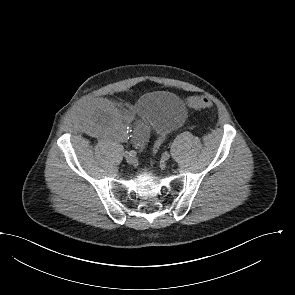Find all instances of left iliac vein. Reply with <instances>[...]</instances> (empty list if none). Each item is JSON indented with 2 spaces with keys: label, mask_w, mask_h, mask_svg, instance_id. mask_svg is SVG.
Returning a JSON list of instances; mask_svg holds the SVG:
<instances>
[{
  "label": "left iliac vein",
  "mask_w": 295,
  "mask_h": 295,
  "mask_svg": "<svg viewBox=\"0 0 295 295\" xmlns=\"http://www.w3.org/2000/svg\"><path fill=\"white\" fill-rule=\"evenodd\" d=\"M169 157H170L169 154L162 157V161H161L162 168H165L166 167V165H167L166 161L169 159Z\"/></svg>",
  "instance_id": "1"
}]
</instances>
